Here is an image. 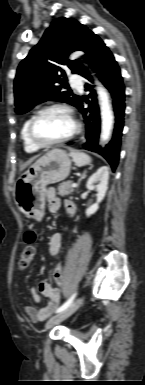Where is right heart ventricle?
<instances>
[{
  "label": "right heart ventricle",
  "instance_id": "1",
  "mask_svg": "<svg viewBox=\"0 0 145 385\" xmlns=\"http://www.w3.org/2000/svg\"><path fill=\"white\" fill-rule=\"evenodd\" d=\"M32 116L26 119L24 122L22 129H21V139L23 142V146L26 152L28 153H35L39 150V148L35 147L29 140L27 130H28V125L30 123Z\"/></svg>",
  "mask_w": 145,
  "mask_h": 385
}]
</instances>
